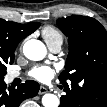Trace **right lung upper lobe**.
<instances>
[{"label": "right lung upper lobe", "instance_id": "right-lung-upper-lobe-1", "mask_svg": "<svg viewBox=\"0 0 107 107\" xmlns=\"http://www.w3.org/2000/svg\"><path fill=\"white\" fill-rule=\"evenodd\" d=\"M39 26L40 23L19 24L0 19V67L14 62V51L19 42Z\"/></svg>", "mask_w": 107, "mask_h": 107}]
</instances>
